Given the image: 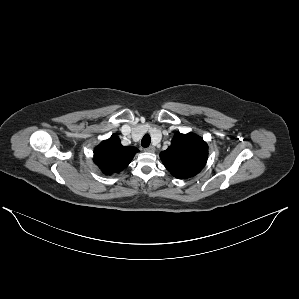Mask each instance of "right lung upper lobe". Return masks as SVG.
Wrapping results in <instances>:
<instances>
[{"label":"right lung upper lobe","instance_id":"cb5924a9","mask_svg":"<svg viewBox=\"0 0 299 299\" xmlns=\"http://www.w3.org/2000/svg\"><path fill=\"white\" fill-rule=\"evenodd\" d=\"M139 150L123 146L118 136L112 135L94 150V162L104 174L120 172L129 165Z\"/></svg>","mask_w":299,"mask_h":299}]
</instances>
